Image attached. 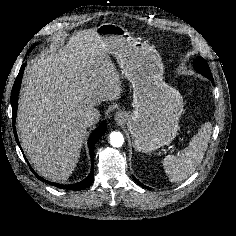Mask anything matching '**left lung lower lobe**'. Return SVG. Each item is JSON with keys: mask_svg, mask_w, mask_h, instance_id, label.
Listing matches in <instances>:
<instances>
[{"mask_svg": "<svg viewBox=\"0 0 236 236\" xmlns=\"http://www.w3.org/2000/svg\"><path fill=\"white\" fill-rule=\"evenodd\" d=\"M207 78H209L212 82L214 81L212 76H209V77H207ZM133 178H134V177H133ZM134 180H135L136 182H138V184H140L141 186H143V187L149 189V187H147V186L143 185L142 183H140L136 178H134Z\"/></svg>", "mask_w": 236, "mask_h": 236, "instance_id": "1", "label": "left lung lower lobe"}]
</instances>
